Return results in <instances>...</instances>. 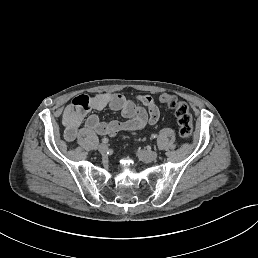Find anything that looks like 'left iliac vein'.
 <instances>
[{
  "label": "left iliac vein",
  "mask_w": 258,
  "mask_h": 258,
  "mask_svg": "<svg viewBox=\"0 0 258 258\" xmlns=\"http://www.w3.org/2000/svg\"><path fill=\"white\" fill-rule=\"evenodd\" d=\"M137 155L140 159L143 160L144 163H149L150 161H153L157 157V151H151V152H143L142 150H137Z\"/></svg>",
  "instance_id": "left-iliac-vein-1"
}]
</instances>
